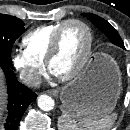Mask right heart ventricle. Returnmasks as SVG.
I'll return each mask as SVG.
<instances>
[{
  "label": "right heart ventricle",
  "mask_w": 130,
  "mask_h": 130,
  "mask_svg": "<svg viewBox=\"0 0 130 130\" xmlns=\"http://www.w3.org/2000/svg\"><path fill=\"white\" fill-rule=\"evenodd\" d=\"M63 22L42 25L28 32L22 39L26 51L37 61L44 63L53 35Z\"/></svg>",
  "instance_id": "e07e8e85"
}]
</instances>
